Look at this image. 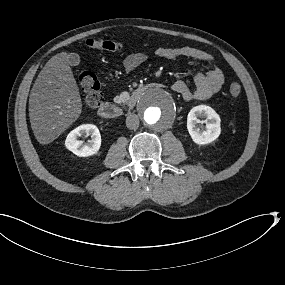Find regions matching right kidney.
<instances>
[{
  "label": "right kidney",
  "mask_w": 285,
  "mask_h": 285,
  "mask_svg": "<svg viewBox=\"0 0 285 285\" xmlns=\"http://www.w3.org/2000/svg\"><path fill=\"white\" fill-rule=\"evenodd\" d=\"M83 134H90L91 140L88 143L77 140ZM65 146L68 150L80 157L91 156L98 152L101 146V135L99 129L93 124H83L72 130L66 140Z\"/></svg>",
  "instance_id": "1"
}]
</instances>
